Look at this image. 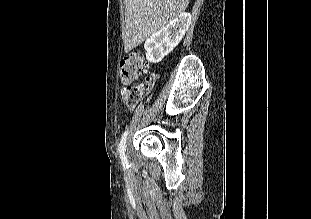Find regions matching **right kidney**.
I'll use <instances>...</instances> for the list:
<instances>
[{
    "mask_svg": "<svg viewBox=\"0 0 311 219\" xmlns=\"http://www.w3.org/2000/svg\"><path fill=\"white\" fill-rule=\"evenodd\" d=\"M190 23V13H182L165 27L151 35L144 44L147 60L151 63L160 62L179 44Z\"/></svg>",
    "mask_w": 311,
    "mask_h": 219,
    "instance_id": "ca27d5eb",
    "label": "right kidney"
}]
</instances>
